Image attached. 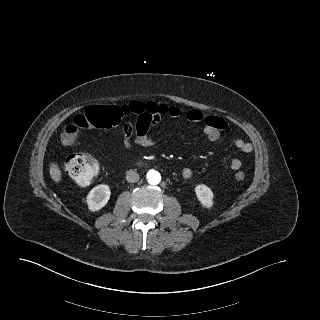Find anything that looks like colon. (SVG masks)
<instances>
[{
	"mask_svg": "<svg viewBox=\"0 0 320 320\" xmlns=\"http://www.w3.org/2000/svg\"><path fill=\"white\" fill-rule=\"evenodd\" d=\"M155 109L153 104L142 106L135 104L131 109L137 111L138 116L145 109ZM128 113L125 107L113 105H92L88 107L82 114L76 116L73 122L65 127L61 133V139L65 143L73 142L81 129L89 128H112L117 126L122 118ZM137 127L147 123L143 117L137 118ZM65 168L68 174L76 183L81 186H87L93 182L99 170V164L96 159L86 154L69 155L65 162ZM238 181L245 178V174L239 171L235 174Z\"/></svg>",
	"mask_w": 320,
	"mask_h": 320,
	"instance_id": "obj_1",
	"label": "colon"
}]
</instances>
